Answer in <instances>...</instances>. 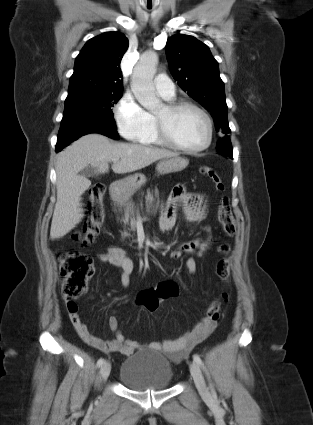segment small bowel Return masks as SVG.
Masks as SVG:
<instances>
[{
  "label": "small bowel",
  "instance_id": "1",
  "mask_svg": "<svg viewBox=\"0 0 313 425\" xmlns=\"http://www.w3.org/2000/svg\"><path fill=\"white\" fill-rule=\"evenodd\" d=\"M178 206H181L185 219L190 223H197L206 216L204 196L198 193L189 192L183 184H177L172 189L166 211L159 220V228L162 232H168L174 227L177 219L176 210ZM207 246L208 241L193 239L181 244L177 249L173 250L170 253V257L178 259L183 253H199L202 248ZM97 259L102 263H109L117 268L123 286L127 287L130 284L133 264L122 248L110 246L107 252L98 254ZM186 266L191 274L197 272L196 260L193 257L187 259ZM67 309L71 323L80 338L86 344L104 353L118 352L123 355H131L135 350L140 348L138 342L126 339L121 333L118 320L115 316L109 318V326L115 333V338L104 340L96 337L90 332L87 324L81 320L75 302L67 300ZM214 327L215 323L210 322L207 317H205L178 339L152 342L150 348L163 350L170 358L179 360L187 356L196 345L205 340L213 331Z\"/></svg>",
  "mask_w": 313,
  "mask_h": 425
}]
</instances>
